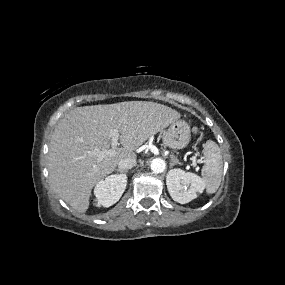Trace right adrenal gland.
Returning <instances> with one entry per match:
<instances>
[{
  "label": "right adrenal gland",
  "mask_w": 285,
  "mask_h": 285,
  "mask_svg": "<svg viewBox=\"0 0 285 285\" xmlns=\"http://www.w3.org/2000/svg\"><path fill=\"white\" fill-rule=\"evenodd\" d=\"M116 171L119 172V173H122V174L123 173L126 174L128 172L127 170H120V169H117Z\"/></svg>",
  "instance_id": "2a0ac1e0"
}]
</instances>
